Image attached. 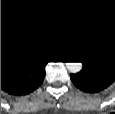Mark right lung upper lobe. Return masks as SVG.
<instances>
[{"label":"right lung upper lobe","instance_id":"obj_1","mask_svg":"<svg viewBox=\"0 0 115 114\" xmlns=\"http://www.w3.org/2000/svg\"><path fill=\"white\" fill-rule=\"evenodd\" d=\"M34 59L17 42L7 38L1 39V65L21 64Z\"/></svg>","mask_w":115,"mask_h":114}]
</instances>
